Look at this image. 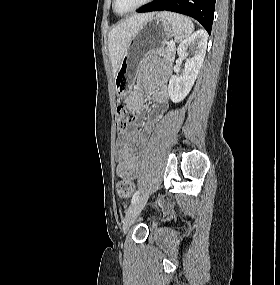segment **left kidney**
Returning <instances> with one entry per match:
<instances>
[{
    "instance_id": "obj_1",
    "label": "left kidney",
    "mask_w": 280,
    "mask_h": 285,
    "mask_svg": "<svg viewBox=\"0 0 280 285\" xmlns=\"http://www.w3.org/2000/svg\"><path fill=\"white\" fill-rule=\"evenodd\" d=\"M207 47V34L198 30L184 39L177 53L180 60H185V67L181 76L173 75L170 78L168 92L174 103L182 101L190 92L202 66ZM191 49L192 57H188Z\"/></svg>"
}]
</instances>
